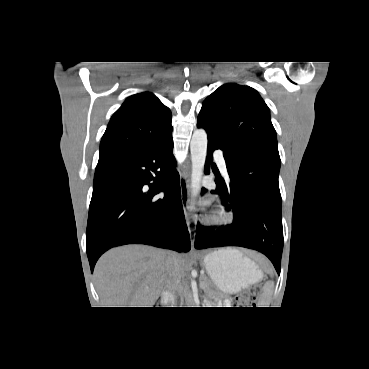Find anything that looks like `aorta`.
<instances>
[{"instance_id": "1", "label": "aorta", "mask_w": 369, "mask_h": 369, "mask_svg": "<svg viewBox=\"0 0 369 369\" xmlns=\"http://www.w3.org/2000/svg\"><path fill=\"white\" fill-rule=\"evenodd\" d=\"M207 133L204 129H196L193 132L190 151L192 161L191 172V196L196 197L201 189L200 182L203 175L207 155ZM191 204H194V202ZM193 206H191V209Z\"/></svg>"}]
</instances>
